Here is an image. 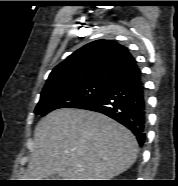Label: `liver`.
Returning a JSON list of instances; mask_svg holds the SVG:
<instances>
[{
	"instance_id": "obj_1",
	"label": "liver",
	"mask_w": 178,
	"mask_h": 186,
	"mask_svg": "<svg viewBox=\"0 0 178 186\" xmlns=\"http://www.w3.org/2000/svg\"><path fill=\"white\" fill-rule=\"evenodd\" d=\"M138 143L126 127L97 112L54 110L37 124L26 180H110L136 161Z\"/></svg>"
}]
</instances>
